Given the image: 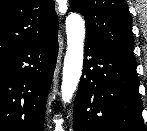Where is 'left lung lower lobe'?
<instances>
[{
  "mask_svg": "<svg viewBox=\"0 0 147 131\" xmlns=\"http://www.w3.org/2000/svg\"><path fill=\"white\" fill-rule=\"evenodd\" d=\"M136 61L85 41L74 105V131H146Z\"/></svg>",
  "mask_w": 147,
  "mask_h": 131,
  "instance_id": "left-lung-lower-lobe-1",
  "label": "left lung lower lobe"
}]
</instances>
